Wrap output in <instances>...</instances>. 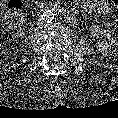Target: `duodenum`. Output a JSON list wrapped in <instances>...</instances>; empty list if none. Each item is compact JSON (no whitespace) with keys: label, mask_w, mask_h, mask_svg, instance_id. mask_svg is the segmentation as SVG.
Wrapping results in <instances>:
<instances>
[{"label":"duodenum","mask_w":118,"mask_h":118,"mask_svg":"<svg viewBox=\"0 0 118 118\" xmlns=\"http://www.w3.org/2000/svg\"><path fill=\"white\" fill-rule=\"evenodd\" d=\"M49 7L57 11L60 15H62L68 21H73L75 18L73 12L68 7L62 4L54 3V4H51Z\"/></svg>","instance_id":"1"}]
</instances>
